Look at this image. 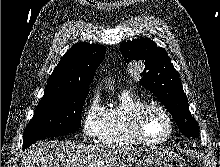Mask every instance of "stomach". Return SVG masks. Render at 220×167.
<instances>
[{"label": "stomach", "mask_w": 220, "mask_h": 167, "mask_svg": "<svg viewBox=\"0 0 220 167\" xmlns=\"http://www.w3.org/2000/svg\"><path fill=\"white\" fill-rule=\"evenodd\" d=\"M117 167H187L181 156L164 148H130Z\"/></svg>", "instance_id": "0dacf381"}]
</instances>
